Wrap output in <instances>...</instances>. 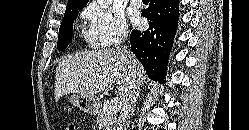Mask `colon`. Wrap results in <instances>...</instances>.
Listing matches in <instances>:
<instances>
[{
  "instance_id": "1",
  "label": "colon",
  "mask_w": 249,
  "mask_h": 130,
  "mask_svg": "<svg viewBox=\"0 0 249 130\" xmlns=\"http://www.w3.org/2000/svg\"><path fill=\"white\" fill-rule=\"evenodd\" d=\"M63 130H77V127L74 123L69 122V123L65 124Z\"/></svg>"
}]
</instances>
